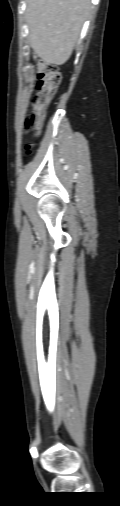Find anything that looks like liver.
Wrapping results in <instances>:
<instances>
[{"label":"liver","mask_w":120,"mask_h":506,"mask_svg":"<svg viewBox=\"0 0 120 506\" xmlns=\"http://www.w3.org/2000/svg\"><path fill=\"white\" fill-rule=\"evenodd\" d=\"M90 8V0H27L26 19L34 54L47 64H64Z\"/></svg>","instance_id":"6515ba94"}]
</instances>
